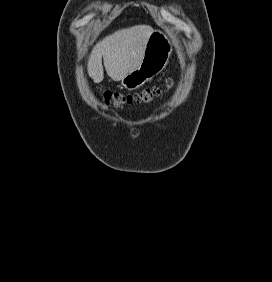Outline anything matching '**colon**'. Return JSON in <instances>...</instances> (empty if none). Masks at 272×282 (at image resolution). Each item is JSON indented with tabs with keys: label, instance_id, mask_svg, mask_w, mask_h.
Masks as SVG:
<instances>
[{
	"label": "colon",
	"instance_id": "colon-1",
	"mask_svg": "<svg viewBox=\"0 0 272 282\" xmlns=\"http://www.w3.org/2000/svg\"><path fill=\"white\" fill-rule=\"evenodd\" d=\"M170 86V79H166L164 86L146 88L132 95H124L121 93H112L107 91L104 94V99L107 105H114L116 107L149 103L153 98L160 96L164 92L165 88H169Z\"/></svg>",
	"mask_w": 272,
	"mask_h": 282
}]
</instances>
